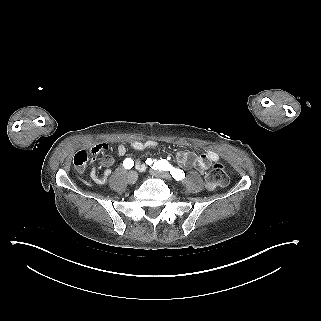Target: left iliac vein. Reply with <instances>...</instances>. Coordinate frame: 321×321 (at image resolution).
I'll return each instance as SVG.
<instances>
[{
  "mask_svg": "<svg viewBox=\"0 0 321 321\" xmlns=\"http://www.w3.org/2000/svg\"><path fill=\"white\" fill-rule=\"evenodd\" d=\"M150 173L155 176V177H158V178H161V179H170L171 176L169 175V173L167 172H164V171H158V170H155V169H151L150 170Z\"/></svg>",
  "mask_w": 321,
  "mask_h": 321,
  "instance_id": "1",
  "label": "left iliac vein"
}]
</instances>
